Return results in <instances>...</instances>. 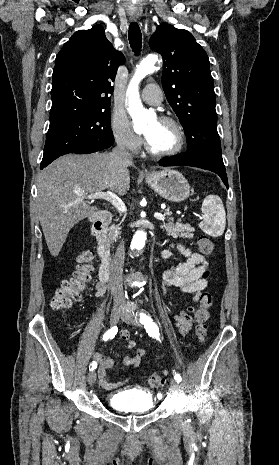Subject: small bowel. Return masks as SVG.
Returning <instances> with one entry per match:
<instances>
[{"instance_id": "c3829d8e", "label": "small bowel", "mask_w": 279, "mask_h": 465, "mask_svg": "<svg viewBox=\"0 0 279 465\" xmlns=\"http://www.w3.org/2000/svg\"><path fill=\"white\" fill-rule=\"evenodd\" d=\"M177 249L185 258L184 262L176 265H170L162 274L163 289L174 288L191 297L195 302L199 300V296L208 286L209 278L204 273L207 271L208 262L205 257L199 253H194L190 249L174 244L165 249L162 257L167 260L172 255V250ZM106 291L105 282L99 281L96 284V296L103 297ZM194 307H187L179 314L173 316L174 326L178 328L182 336L187 335L193 327L194 319L192 314L195 313ZM121 339L127 342V347L132 351V354L123 359V364L128 367L138 368L143 357L146 355L144 348H137L135 341L131 338L130 332L123 330ZM93 362L98 363L97 370L99 384L103 389L114 390L126 385L129 379L119 382H111L108 378V370L112 369L115 361L112 357L96 352L92 356Z\"/></svg>"}]
</instances>
